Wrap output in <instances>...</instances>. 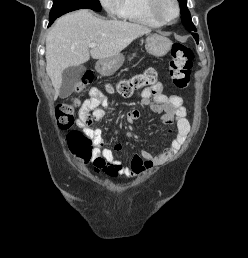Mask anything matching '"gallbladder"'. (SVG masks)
I'll return each mask as SVG.
<instances>
[{
	"instance_id": "obj_1",
	"label": "gallbladder",
	"mask_w": 248,
	"mask_h": 258,
	"mask_svg": "<svg viewBox=\"0 0 248 258\" xmlns=\"http://www.w3.org/2000/svg\"><path fill=\"white\" fill-rule=\"evenodd\" d=\"M86 68L83 65L71 66L62 73V83L59 90L61 98H66L74 91Z\"/></svg>"
}]
</instances>
